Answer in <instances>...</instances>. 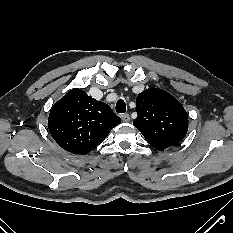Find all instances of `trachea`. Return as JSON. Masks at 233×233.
Here are the masks:
<instances>
[{"label":"trachea","mask_w":233,"mask_h":233,"mask_svg":"<svg viewBox=\"0 0 233 233\" xmlns=\"http://www.w3.org/2000/svg\"><path fill=\"white\" fill-rule=\"evenodd\" d=\"M116 111L118 113H125L126 112V104L124 100L119 99L116 104Z\"/></svg>","instance_id":"1"}]
</instances>
